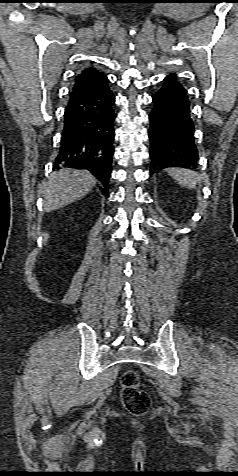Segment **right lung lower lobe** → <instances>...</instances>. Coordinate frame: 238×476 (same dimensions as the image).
<instances>
[{"instance_id":"1","label":"right lung lower lobe","mask_w":238,"mask_h":476,"mask_svg":"<svg viewBox=\"0 0 238 476\" xmlns=\"http://www.w3.org/2000/svg\"><path fill=\"white\" fill-rule=\"evenodd\" d=\"M115 97L104 76L80 98L69 102L64 113L59 165L89 170L108 193L114 154Z\"/></svg>"}]
</instances>
